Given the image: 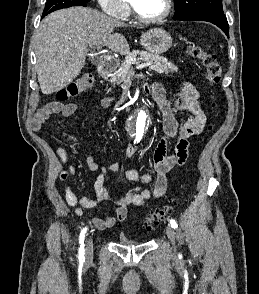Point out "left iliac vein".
<instances>
[{"instance_id":"1","label":"left iliac vein","mask_w":259,"mask_h":294,"mask_svg":"<svg viewBox=\"0 0 259 294\" xmlns=\"http://www.w3.org/2000/svg\"><path fill=\"white\" fill-rule=\"evenodd\" d=\"M166 234L167 237L169 238L171 245H172V251L173 253L176 252V239H175V231L171 226L166 227Z\"/></svg>"}]
</instances>
